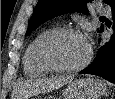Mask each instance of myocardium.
<instances>
[{
	"label": "myocardium",
	"mask_w": 115,
	"mask_h": 99,
	"mask_svg": "<svg viewBox=\"0 0 115 99\" xmlns=\"http://www.w3.org/2000/svg\"><path fill=\"white\" fill-rule=\"evenodd\" d=\"M67 35H78L85 39L83 34L77 29L58 28L47 34L39 43L37 50L38 59L41 62V64L51 72H58V73L76 72L85 68L91 61L92 48L89 42L87 41V47H88L87 55L81 63L74 66H62L54 62V60L50 56L49 48L54 41Z\"/></svg>",
	"instance_id": "1"
}]
</instances>
